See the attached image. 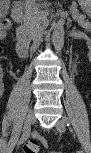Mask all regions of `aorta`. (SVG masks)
Wrapping results in <instances>:
<instances>
[{"instance_id":"aorta-1","label":"aorta","mask_w":91,"mask_h":153,"mask_svg":"<svg viewBox=\"0 0 91 153\" xmlns=\"http://www.w3.org/2000/svg\"><path fill=\"white\" fill-rule=\"evenodd\" d=\"M64 27L58 22L54 25L52 41L56 52H60L64 46Z\"/></svg>"}]
</instances>
